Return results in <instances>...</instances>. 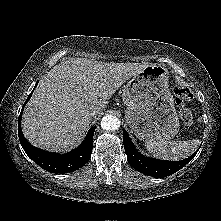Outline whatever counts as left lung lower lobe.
<instances>
[{"instance_id": "0a47b994", "label": "left lung lower lobe", "mask_w": 221, "mask_h": 221, "mask_svg": "<svg viewBox=\"0 0 221 221\" xmlns=\"http://www.w3.org/2000/svg\"><path fill=\"white\" fill-rule=\"evenodd\" d=\"M123 143L129 164L137 171L157 178L172 175L183 168L196 155L195 152L192 156L181 161H165L145 157L135 149L125 129H123Z\"/></svg>"}]
</instances>
